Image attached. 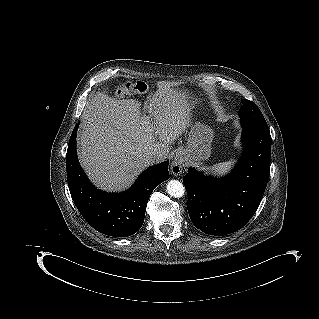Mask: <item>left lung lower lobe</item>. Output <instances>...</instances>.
Masks as SVG:
<instances>
[{
    "label": "left lung lower lobe",
    "instance_id": "1",
    "mask_svg": "<svg viewBox=\"0 0 319 319\" xmlns=\"http://www.w3.org/2000/svg\"><path fill=\"white\" fill-rule=\"evenodd\" d=\"M244 151L234 170L215 179L188 169L183 182L192 223L206 234L222 236L242 228L256 212L270 175V131L243 129Z\"/></svg>",
    "mask_w": 319,
    "mask_h": 319
}]
</instances>
